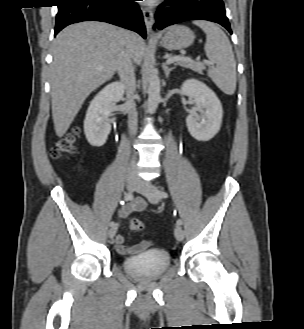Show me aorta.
<instances>
[{
    "mask_svg": "<svg viewBox=\"0 0 304 329\" xmlns=\"http://www.w3.org/2000/svg\"><path fill=\"white\" fill-rule=\"evenodd\" d=\"M148 101L147 107L150 113H154L160 102V78L154 70L149 76L148 80Z\"/></svg>",
    "mask_w": 304,
    "mask_h": 329,
    "instance_id": "obj_1",
    "label": "aorta"
}]
</instances>
